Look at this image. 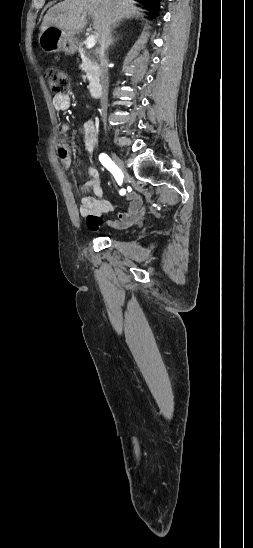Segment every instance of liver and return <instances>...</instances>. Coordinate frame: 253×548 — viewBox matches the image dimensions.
<instances>
[{
    "mask_svg": "<svg viewBox=\"0 0 253 548\" xmlns=\"http://www.w3.org/2000/svg\"><path fill=\"white\" fill-rule=\"evenodd\" d=\"M140 11L142 10L131 0H64L47 11L41 24V32L54 26L63 30L67 37H74L86 27V14H89L93 18L95 36L99 39L107 17L116 26L124 18L142 17Z\"/></svg>",
    "mask_w": 253,
    "mask_h": 548,
    "instance_id": "1",
    "label": "liver"
}]
</instances>
